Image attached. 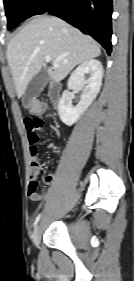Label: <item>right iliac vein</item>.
Masks as SVG:
<instances>
[{
  "instance_id": "right-iliac-vein-1",
  "label": "right iliac vein",
  "mask_w": 134,
  "mask_h": 281,
  "mask_svg": "<svg viewBox=\"0 0 134 281\" xmlns=\"http://www.w3.org/2000/svg\"><path fill=\"white\" fill-rule=\"evenodd\" d=\"M32 239H33V243L35 246H38L40 240H41V228L40 226H36L35 230H34V233H33V236H32Z\"/></svg>"
}]
</instances>
